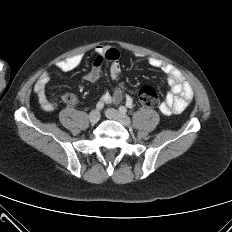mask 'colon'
<instances>
[{"mask_svg":"<svg viewBox=\"0 0 232 232\" xmlns=\"http://www.w3.org/2000/svg\"><path fill=\"white\" fill-rule=\"evenodd\" d=\"M139 101L146 107H157L159 96L157 91L151 86H144L138 92Z\"/></svg>","mask_w":232,"mask_h":232,"instance_id":"5ec220e1","label":"colon"}]
</instances>
